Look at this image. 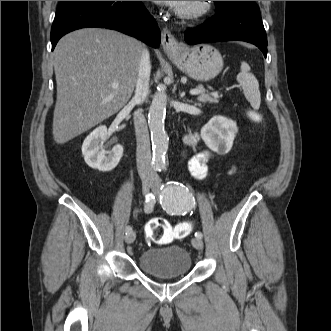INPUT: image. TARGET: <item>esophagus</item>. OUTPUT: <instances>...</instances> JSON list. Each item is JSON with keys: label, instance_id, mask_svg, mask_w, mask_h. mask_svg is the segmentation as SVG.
<instances>
[{"label": "esophagus", "instance_id": "1", "mask_svg": "<svg viewBox=\"0 0 331 331\" xmlns=\"http://www.w3.org/2000/svg\"><path fill=\"white\" fill-rule=\"evenodd\" d=\"M161 44L167 54H174L180 49V44L167 28L162 29Z\"/></svg>", "mask_w": 331, "mask_h": 331}]
</instances>
